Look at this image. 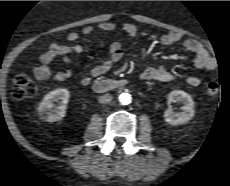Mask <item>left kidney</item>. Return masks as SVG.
Masks as SVG:
<instances>
[{
    "label": "left kidney",
    "mask_w": 230,
    "mask_h": 186,
    "mask_svg": "<svg viewBox=\"0 0 230 186\" xmlns=\"http://www.w3.org/2000/svg\"><path fill=\"white\" fill-rule=\"evenodd\" d=\"M168 103L175 100L180 101L184 105L181 112L172 111L171 107L164 112L165 121L170 125H179L188 122L195 114L194 101L192 97L182 90H174L168 94Z\"/></svg>",
    "instance_id": "obj_1"
}]
</instances>
